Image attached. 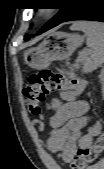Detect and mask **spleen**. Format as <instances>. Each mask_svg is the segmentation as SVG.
<instances>
[{"instance_id":"spleen-1","label":"spleen","mask_w":104,"mask_h":169,"mask_svg":"<svg viewBox=\"0 0 104 169\" xmlns=\"http://www.w3.org/2000/svg\"><path fill=\"white\" fill-rule=\"evenodd\" d=\"M71 30L84 32L89 57L83 63V72L91 73L104 62V26L97 22H76Z\"/></svg>"}]
</instances>
